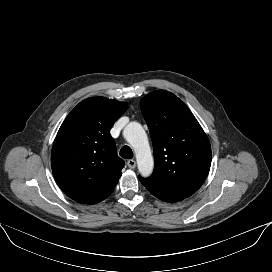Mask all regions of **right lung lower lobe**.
<instances>
[{
  "instance_id": "1",
  "label": "right lung lower lobe",
  "mask_w": 272,
  "mask_h": 272,
  "mask_svg": "<svg viewBox=\"0 0 272 272\" xmlns=\"http://www.w3.org/2000/svg\"><path fill=\"white\" fill-rule=\"evenodd\" d=\"M118 183L115 182L111 187H109L106 191H104L99 197H97L93 202H91L90 204H95V203H98L102 200H104L105 198H107L114 190L116 184Z\"/></svg>"
}]
</instances>
